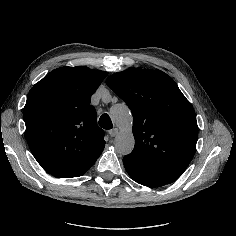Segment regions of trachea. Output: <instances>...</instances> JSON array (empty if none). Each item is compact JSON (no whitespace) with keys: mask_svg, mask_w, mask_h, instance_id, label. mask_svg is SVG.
Masks as SVG:
<instances>
[{"mask_svg":"<svg viewBox=\"0 0 236 236\" xmlns=\"http://www.w3.org/2000/svg\"><path fill=\"white\" fill-rule=\"evenodd\" d=\"M99 125L106 129V130H110L113 128V123L109 117V115L107 114H103L100 119H99Z\"/></svg>","mask_w":236,"mask_h":236,"instance_id":"obj_1","label":"trachea"}]
</instances>
